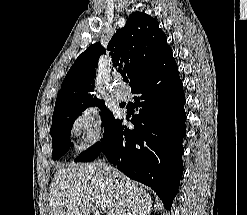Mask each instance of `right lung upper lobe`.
<instances>
[{
	"instance_id": "1",
	"label": "right lung upper lobe",
	"mask_w": 247,
	"mask_h": 215,
	"mask_svg": "<svg viewBox=\"0 0 247 215\" xmlns=\"http://www.w3.org/2000/svg\"><path fill=\"white\" fill-rule=\"evenodd\" d=\"M170 49L157 20L143 12L132 13L126 25L117 30L107 46L113 67L120 73H127L131 88L152 70ZM105 53L106 49L100 43H95L79 55L61 85L54 113L93 99L89 92L94 89L99 56Z\"/></svg>"
}]
</instances>
